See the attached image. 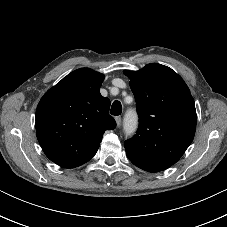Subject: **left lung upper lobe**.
Here are the masks:
<instances>
[{
	"instance_id": "5c2ea615",
	"label": "left lung upper lobe",
	"mask_w": 227,
	"mask_h": 227,
	"mask_svg": "<svg viewBox=\"0 0 227 227\" xmlns=\"http://www.w3.org/2000/svg\"><path fill=\"white\" fill-rule=\"evenodd\" d=\"M130 78L139 115L135 136L125 141L127 157L148 172L175 164L191 144L196 130L193 97L183 79L171 68L151 63Z\"/></svg>"
}]
</instances>
